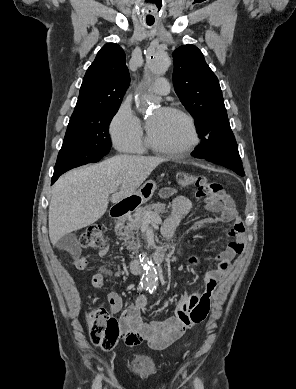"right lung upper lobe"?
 Returning <instances> with one entry per match:
<instances>
[{
  "instance_id": "1",
  "label": "right lung upper lobe",
  "mask_w": 296,
  "mask_h": 389,
  "mask_svg": "<svg viewBox=\"0 0 296 389\" xmlns=\"http://www.w3.org/2000/svg\"><path fill=\"white\" fill-rule=\"evenodd\" d=\"M129 84L123 49L115 43L105 44L84 76L70 120L96 109L120 106Z\"/></svg>"
}]
</instances>
